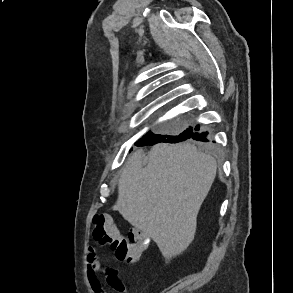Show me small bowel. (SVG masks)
<instances>
[{
    "label": "small bowel",
    "mask_w": 293,
    "mask_h": 293,
    "mask_svg": "<svg viewBox=\"0 0 293 293\" xmlns=\"http://www.w3.org/2000/svg\"><path fill=\"white\" fill-rule=\"evenodd\" d=\"M104 272L107 284L117 293H126L127 288L118 278L117 271L105 268L103 262L96 256L94 247H89L87 256L86 277L93 293H105L99 273Z\"/></svg>",
    "instance_id": "1"
}]
</instances>
